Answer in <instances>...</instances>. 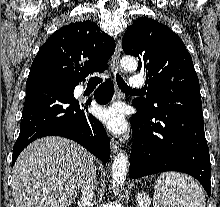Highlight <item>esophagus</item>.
<instances>
[{"label":"esophagus","mask_w":220,"mask_h":207,"mask_svg":"<svg viewBox=\"0 0 220 207\" xmlns=\"http://www.w3.org/2000/svg\"><path fill=\"white\" fill-rule=\"evenodd\" d=\"M121 50H122L121 42L120 40H117L115 51H114V54L111 60L113 73H116L119 71V59L121 55ZM111 150L113 154L119 151V142L115 140L114 138L111 139Z\"/></svg>","instance_id":"obj_1"}]
</instances>
